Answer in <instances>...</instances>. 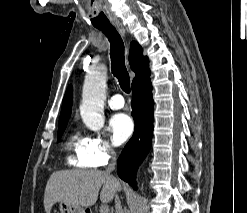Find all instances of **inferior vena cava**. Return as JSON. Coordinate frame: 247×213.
Here are the masks:
<instances>
[{
    "label": "inferior vena cava",
    "instance_id": "inferior-vena-cava-1",
    "mask_svg": "<svg viewBox=\"0 0 247 213\" xmlns=\"http://www.w3.org/2000/svg\"><path fill=\"white\" fill-rule=\"evenodd\" d=\"M109 154H110L111 162H110V164L108 165V167L106 169L107 173H110L115 169L116 160H117L116 152L113 149L109 150ZM115 210H116L115 213H123V209H122V206H121V201H120L118 195H115Z\"/></svg>",
    "mask_w": 247,
    "mask_h": 213
}]
</instances>
